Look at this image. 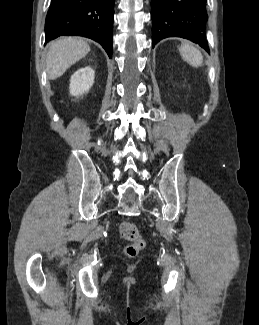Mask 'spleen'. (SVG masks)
Instances as JSON below:
<instances>
[{
    "label": "spleen",
    "mask_w": 259,
    "mask_h": 325,
    "mask_svg": "<svg viewBox=\"0 0 259 325\" xmlns=\"http://www.w3.org/2000/svg\"><path fill=\"white\" fill-rule=\"evenodd\" d=\"M179 52L187 63L193 67H200L203 63L202 54L198 49L190 45L189 43H183L179 47Z\"/></svg>",
    "instance_id": "3e777b00"
}]
</instances>
